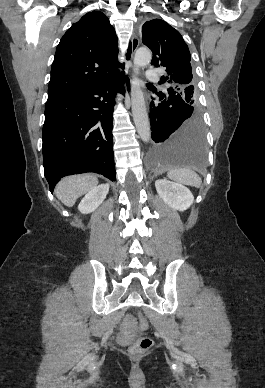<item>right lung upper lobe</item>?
Returning <instances> with one entry per match:
<instances>
[{
  "mask_svg": "<svg viewBox=\"0 0 265 388\" xmlns=\"http://www.w3.org/2000/svg\"><path fill=\"white\" fill-rule=\"evenodd\" d=\"M118 39L102 12L85 14L57 46L48 86V100L103 83L119 74ZM131 56V46L126 58Z\"/></svg>",
  "mask_w": 265,
  "mask_h": 388,
  "instance_id": "obj_1",
  "label": "right lung upper lobe"
}]
</instances>
